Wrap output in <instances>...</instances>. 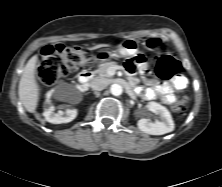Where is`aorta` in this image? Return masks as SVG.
Segmentation results:
<instances>
[{
	"mask_svg": "<svg viewBox=\"0 0 222 187\" xmlns=\"http://www.w3.org/2000/svg\"><path fill=\"white\" fill-rule=\"evenodd\" d=\"M110 92L114 96H120L123 92V88L119 84H112L110 87Z\"/></svg>",
	"mask_w": 222,
	"mask_h": 187,
	"instance_id": "aorta-1",
	"label": "aorta"
}]
</instances>
